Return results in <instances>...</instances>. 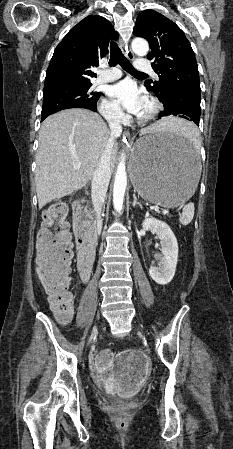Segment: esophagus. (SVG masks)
<instances>
[{
    "label": "esophagus",
    "instance_id": "1",
    "mask_svg": "<svg viewBox=\"0 0 233 449\" xmlns=\"http://www.w3.org/2000/svg\"><path fill=\"white\" fill-rule=\"evenodd\" d=\"M118 42H119V45H120V47H121V49H122L124 55H125L128 59L133 60V59H134V54H133V53L130 51V49L124 44L122 38H119ZM129 139H130V134H129L128 131H125V132H124V140H125V141H129Z\"/></svg>",
    "mask_w": 233,
    "mask_h": 449
}]
</instances>
